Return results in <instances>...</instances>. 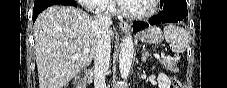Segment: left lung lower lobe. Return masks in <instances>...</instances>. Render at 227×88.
<instances>
[{
  "instance_id": "left-lung-lower-lobe-1",
  "label": "left lung lower lobe",
  "mask_w": 227,
  "mask_h": 88,
  "mask_svg": "<svg viewBox=\"0 0 227 88\" xmlns=\"http://www.w3.org/2000/svg\"><path fill=\"white\" fill-rule=\"evenodd\" d=\"M188 15L186 0H161V12L159 15L149 19L148 23L135 22V32L145 29L150 25L160 23H177Z\"/></svg>"
}]
</instances>
